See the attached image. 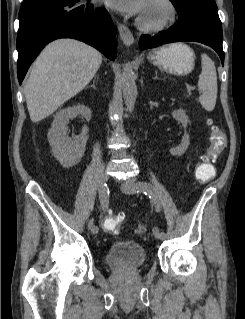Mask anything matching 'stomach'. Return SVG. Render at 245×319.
Masks as SVG:
<instances>
[{
  "instance_id": "1",
  "label": "stomach",
  "mask_w": 245,
  "mask_h": 319,
  "mask_svg": "<svg viewBox=\"0 0 245 319\" xmlns=\"http://www.w3.org/2000/svg\"><path fill=\"white\" fill-rule=\"evenodd\" d=\"M148 59L174 75H185L194 68V52L184 43H173L155 50Z\"/></svg>"
}]
</instances>
